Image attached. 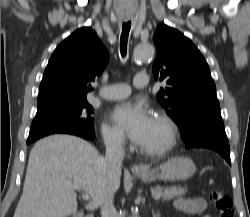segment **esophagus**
Listing matches in <instances>:
<instances>
[{
  "mask_svg": "<svg viewBox=\"0 0 250 217\" xmlns=\"http://www.w3.org/2000/svg\"><path fill=\"white\" fill-rule=\"evenodd\" d=\"M131 170H132V172H141L144 170V167L141 165H138V164H133L131 166Z\"/></svg>",
  "mask_w": 250,
  "mask_h": 217,
  "instance_id": "1",
  "label": "esophagus"
}]
</instances>
